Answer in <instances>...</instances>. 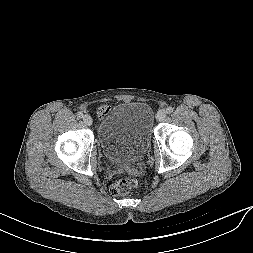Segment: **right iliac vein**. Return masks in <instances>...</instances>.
I'll use <instances>...</instances> for the list:
<instances>
[{"mask_svg":"<svg viewBox=\"0 0 253 253\" xmlns=\"http://www.w3.org/2000/svg\"><path fill=\"white\" fill-rule=\"evenodd\" d=\"M83 122L85 123V125L91 126L92 123H93V120H92V118H91L90 115H85V116L83 117Z\"/></svg>","mask_w":253,"mask_h":253,"instance_id":"1","label":"right iliac vein"}]
</instances>
